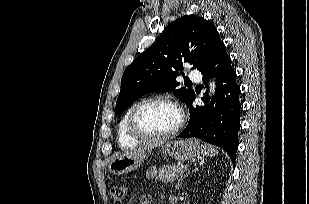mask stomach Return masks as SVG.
I'll return each mask as SVG.
<instances>
[{
	"mask_svg": "<svg viewBox=\"0 0 309 204\" xmlns=\"http://www.w3.org/2000/svg\"><path fill=\"white\" fill-rule=\"evenodd\" d=\"M161 151L171 158L184 161L199 156L202 146L196 139L167 141L161 144ZM146 151L131 152L114 158L108 168L114 175H122L136 170L147 158Z\"/></svg>",
	"mask_w": 309,
	"mask_h": 204,
	"instance_id": "0dacf381",
	"label": "stomach"
}]
</instances>
